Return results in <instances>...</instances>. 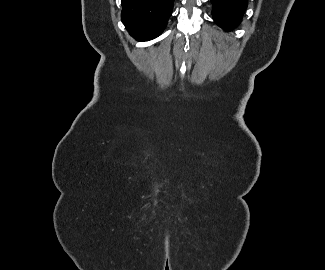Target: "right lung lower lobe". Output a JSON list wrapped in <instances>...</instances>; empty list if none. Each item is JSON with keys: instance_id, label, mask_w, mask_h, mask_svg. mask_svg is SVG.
I'll return each instance as SVG.
<instances>
[{"instance_id": "1", "label": "right lung lower lobe", "mask_w": 325, "mask_h": 270, "mask_svg": "<svg viewBox=\"0 0 325 270\" xmlns=\"http://www.w3.org/2000/svg\"><path fill=\"white\" fill-rule=\"evenodd\" d=\"M174 0H121L122 22L138 41L159 36L172 14Z\"/></svg>"}]
</instances>
